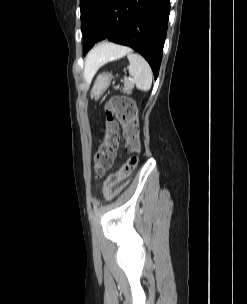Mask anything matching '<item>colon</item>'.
Masks as SVG:
<instances>
[{"instance_id":"colon-1","label":"colon","mask_w":247,"mask_h":304,"mask_svg":"<svg viewBox=\"0 0 247 304\" xmlns=\"http://www.w3.org/2000/svg\"><path fill=\"white\" fill-rule=\"evenodd\" d=\"M106 130L103 142L94 158V171L97 177L102 176L113 164L119 147V126L123 127L127 140V150L136 152L139 149L137 109L132 100L125 96H114L106 105ZM137 162L135 157L116 173L109 176L106 186L111 188L125 179Z\"/></svg>"}]
</instances>
